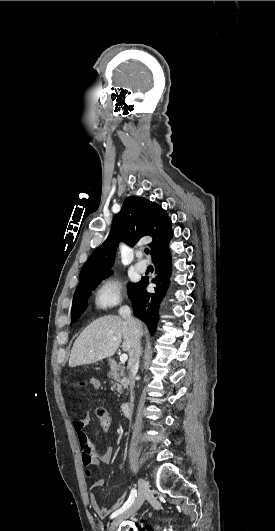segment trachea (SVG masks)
I'll return each instance as SVG.
<instances>
[{
    "label": "trachea",
    "instance_id": "3493384b",
    "mask_svg": "<svg viewBox=\"0 0 275 531\" xmlns=\"http://www.w3.org/2000/svg\"><path fill=\"white\" fill-rule=\"evenodd\" d=\"M145 253L148 254L149 253V249L146 248L145 249Z\"/></svg>",
    "mask_w": 275,
    "mask_h": 531
}]
</instances>
